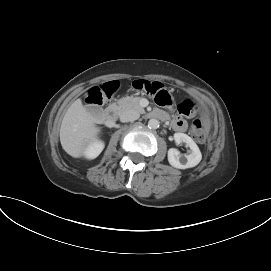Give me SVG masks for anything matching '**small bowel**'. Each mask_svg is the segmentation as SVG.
I'll return each instance as SVG.
<instances>
[{
  "instance_id": "1",
  "label": "small bowel",
  "mask_w": 271,
  "mask_h": 271,
  "mask_svg": "<svg viewBox=\"0 0 271 271\" xmlns=\"http://www.w3.org/2000/svg\"><path fill=\"white\" fill-rule=\"evenodd\" d=\"M156 113L160 114L162 118L166 117V114L162 111H157ZM171 124L172 127L178 132H184L187 128L185 120L179 117H173Z\"/></svg>"
}]
</instances>
